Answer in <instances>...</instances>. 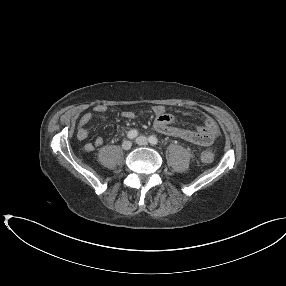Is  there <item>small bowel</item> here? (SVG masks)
Masks as SVG:
<instances>
[{
    "instance_id": "small-bowel-1",
    "label": "small bowel",
    "mask_w": 286,
    "mask_h": 286,
    "mask_svg": "<svg viewBox=\"0 0 286 286\" xmlns=\"http://www.w3.org/2000/svg\"><path fill=\"white\" fill-rule=\"evenodd\" d=\"M94 111L102 114L106 111V106L96 105ZM152 111L155 115L153 123L154 129L166 136L178 137L195 145L207 147L216 139L219 128L215 120L207 114H203V124L195 130L186 129L177 125V119L172 114L166 112L162 105H154ZM125 119H133L135 114L132 111L125 110L121 113ZM93 114L91 112L83 113L76 129V137L79 140H85L89 136L88 124L91 122ZM104 143L102 137H97L93 142H88L83 146L85 152H92L94 149L101 147Z\"/></svg>"
}]
</instances>
